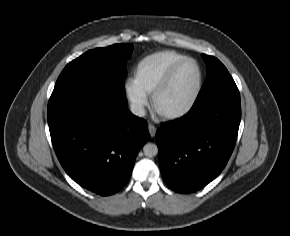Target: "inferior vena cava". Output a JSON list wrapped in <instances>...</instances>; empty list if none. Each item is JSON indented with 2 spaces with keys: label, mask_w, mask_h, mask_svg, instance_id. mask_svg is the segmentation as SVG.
I'll use <instances>...</instances> for the list:
<instances>
[{
  "label": "inferior vena cava",
  "mask_w": 290,
  "mask_h": 236,
  "mask_svg": "<svg viewBox=\"0 0 290 236\" xmlns=\"http://www.w3.org/2000/svg\"><path fill=\"white\" fill-rule=\"evenodd\" d=\"M130 111L132 114L138 116V117H143L145 116V109L143 106L138 105V104H131L130 106Z\"/></svg>",
  "instance_id": "1"
}]
</instances>
